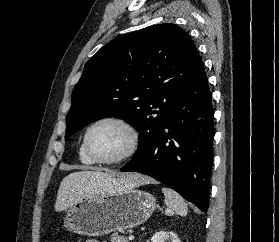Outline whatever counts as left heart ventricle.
Instances as JSON below:
<instances>
[{
	"label": "left heart ventricle",
	"mask_w": 279,
	"mask_h": 242,
	"mask_svg": "<svg viewBox=\"0 0 279 242\" xmlns=\"http://www.w3.org/2000/svg\"><path fill=\"white\" fill-rule=\"evenodd\" d=\"M128 142L129 136L125 129L117 124L104 123L91 132L89 147L97 158L110 159L121 155Z\"/></svg>",
	"instance_id": "left-heart-ventricle-1"
}]
</instances>
